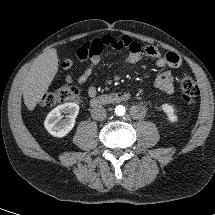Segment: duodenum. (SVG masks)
<instances>
[{"label": "duodenum", "mask_w": 215, "mask_h": 215, "mask_svg": "<svg viewBox=\"0 0 215 215\" xmlns=\"http://www.w3.org/2000/svg\"><path fill=\"white\" fill-rule=\"evenodd\" d=\"M130 94L125 91L114 92L106 95H100L91 99V106L99 107L109 104H118L129 100Z\"/></svg>", "instance_id": "duodenum-1"}]
</instances>
